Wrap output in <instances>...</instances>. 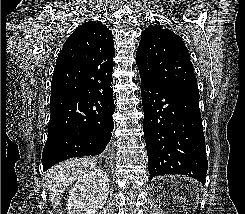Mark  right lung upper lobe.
Wrapping results in <instances>:
<instances>
[{"label": "right lung upper lobe", "instance_id": "1", "mask_svg": "<svg viewBox=\"0 0 245 214\" xmlns=\"http://www.w3.org/2000/svg\"><path fill=\"white\" fill-rule=\"evenodd\" d=\"M113 44L112 32L100 21L80 25L58 55L51 92L76 94L85 89L98 68L113 66Z\"/></svg>", "mask_w": 245, "mask_h": 214}]
</instances>
